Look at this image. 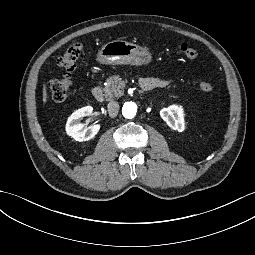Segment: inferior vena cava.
<instances>
[{
    "instance_id": "obj_1",
    "label": "inferior vena cava",
    "mask_w": 255,
    "mask_h": 255,
    "mask_svg": "<svg viewBox=\"0 0 255 255\" xmlns=\"http://www.w3.org/2000/svg\"><path fill=\"white\" fill-rule=\"evenodd\" d=\"M108 113L110 117H116L119 112V104L116 101H111L108 103Z\"/></svg>"
}]
</instances>
